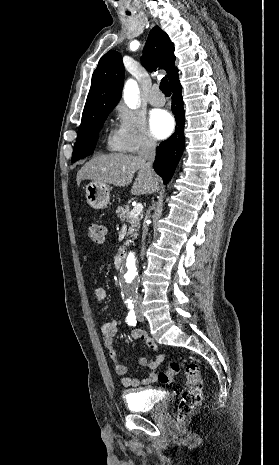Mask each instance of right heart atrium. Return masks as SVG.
Returning <instances> with one entry per match:
<instances>
[{
    "label": "right heart atrium",
    "instance_id": "obj_1",
    "mask_svg": "<svg viewBox=\"0 0 279 465\" xmlns=\"http://www.w3.org/2000/svg\"><path fill=\"white\" fill-rule=\"evenodd\" d=\"M111 140L120 150L128 153L156 146V140L148 130L144 118L124 105L116 107V125Z\"/></svg>",
    "mask_w": 279,
    "mask_h": 465
}]
</instances>
